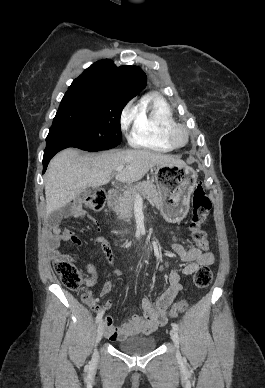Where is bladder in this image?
Returning a JSON list of instances; mask_svg holds the SVG:
<instances>
[{"instance_id":"31cf9c89","label":"bladder","mask_w":265,"mask_h":388,"mask_svg":"<svg viewBox=\"0 0 265 388\" xmlns=\"http://www.w3.org/2000/svg\"><path fill=\"white\" fill-rule=\"evenodd\" d=\"M158 340L150 339L148 336H135L122 340L119 344V350L131 355L152 352Z\"/></svg>"}]
</instances>
